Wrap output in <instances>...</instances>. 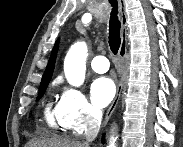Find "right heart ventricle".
Listing matches in <instances>:
<instances>
[{
	"instance_id": "e07e8e85",
	"label": "right heart ventricle",
	"mask_w": 183,
	"mask_h": 147,
	"mask_svg": "<svg viewBox=\"0 0 183 147\" xmlns=\"http://www.w3.org/2000/svg\"><path fill=\"white\" fill-rule=\"evenodd\" d=\"M45 119L48 125L55 130L65 129V125L60 116L59 102L56 104L48 103L45 108Z\"/></svg>"
}]
</instances>
